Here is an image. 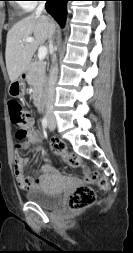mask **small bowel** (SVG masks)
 Listing matches in <instances>:
<instances>
[{
	"instance_id": "c3829d8e",
	"label": "small bowel",
	"mask_w": 133,
	"mask_h": 253,
	"mask_svg": "<svg viewBox=\"0 0 133 253\" xmlns=\"http://www.w3.org/2000/svg\"><path fill=\"white\" fill-rule=\"evenodd\" d=\"M41 142V135L39 132L33 130L31 135L21 143L15 145V162H14V173L18 186L23 190H31L38 188L43 182L44 178L38 176L36 178H31L27 176L24 172L27 159L20 156V153L28 150L32 145ZM41 172L45 174L53 173L54 169L49 162H47L41 168ZM87 182H91L92 179L88 173L85 174Z\"/></svg>"
}]
</instances>
